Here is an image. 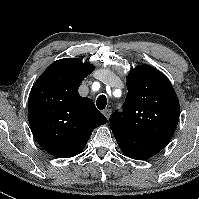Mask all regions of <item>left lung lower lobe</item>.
<instances>
[{
	"mask_svg": "<svg viewBox=\"0 0 199 199\" xmlns=\"http://www.w3.org/2000/svg\"><path fill=\"white\" fill-rule=\"evenodd\" d=\"M122 152L136 160H144L160 152L167 144L123 128L111 129Z\"/></svg>",
	"mask_w": 199,
	"mask_h": 199,
	"instance_id": "obj_1",
	"label": "left lung lower lobe"
}]
</instances>
